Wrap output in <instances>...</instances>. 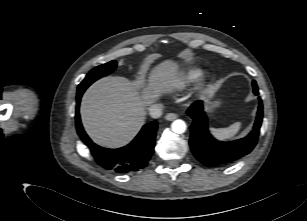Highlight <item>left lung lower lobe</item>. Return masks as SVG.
Masks as SVG:
<instances>
[{
    "instance_id": "0a47b994",
    "label": "left lung lower lobe",
    "mask_w": 307,
    "mask_h": 221,
    "mask_svg": "<svg viewBox=\"0 0 307 221\" xmlns=\"http://www.w3.org/2000/svg\"><path fill=\"white\" fill-rule=\"evenodd\" d=\"M253 92L258 95V87L255 81L252 83ZM192 117L190 146L194 156L205 166L215 167L232 163L249 154L255 147L263 118V104L259 98V106L254 128L245 138L219 142L208 131L207 117L203 111L202 101H197L187 110Z\"/></svg>"
}]
</instances>
